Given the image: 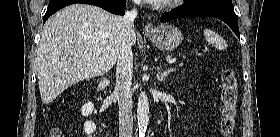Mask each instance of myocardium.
Instances as JSON below:
<instances>
[{
	"label": "myocardium",
	"mask_w": 280,
	"mask_h": 137,
	"mask_svg": "<svg viewBox=\"0 0 280 137\" xmlns=\"http://www.w3.org/2000/svg\"><path fill=\"white\" fill-rule=\"evenodd\" d=\"M178 2H180V0H170L169 3L164 4V7L173 6V5L177 4Z\"/></svg>",
	"instance_id": "f54148a6"
}]
</instances>
